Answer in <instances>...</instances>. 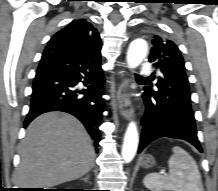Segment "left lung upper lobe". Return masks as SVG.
<instances>
[{
	"mask_svg": "<svg viewBox=\"0 0 218 191\" xmlns=\"http://www.w3.org/2000/svg\"><path fill=\"white\" fill-rule=\"evenodd\" d=\"M149 61L161 71L155 91L166 95L170 100L175 97L190 104L189 82L178 47L172 41L154 35Z\"/></svg>",
	"mask_w": 218,
	"mask_h": 191,
	"instance_id": "5c2ea615",
	"label": "left lung upper lobe"
}]
</instances>
